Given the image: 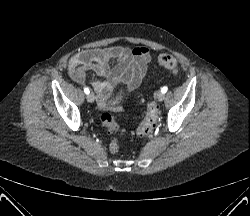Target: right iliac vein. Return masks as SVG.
<instances>
[{
    "label": "right iliac vein",
    "mask_w": 250,
    "mask_h": 216,
    "mask_svg": "<svg viewBox=\"0 0 250 216\" xmlns=\"http://www.w3.org/2000/svg\"><path fill=\"white\" fill-rule=\"evenodd\" d=\"M94 99H95V97H94V95L92 93H89L87 95V101L88 102L92 103V102H94Z\"/></svg>",
    "instance_id": "1"
}]
</instances>
